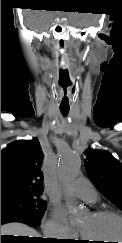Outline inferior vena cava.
<instances>
[{
	"label": "inferior vena cava",
	"mask_w": 122,
	"mask_h": 243,
	"mask_svg": "<svg viewBox=\"0 0 122 243\" xmlns=\"http://www.w3.org/2000/svg\"><path fill=\"white\" fill-rule=\"evenodd\" d=\"M44 235H45L44 238H47L46 235H48V232L46 230L44 231Z\"/></svg>",
	"instance_id": "602c4592"
}]
</instances>
